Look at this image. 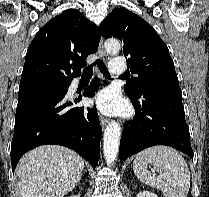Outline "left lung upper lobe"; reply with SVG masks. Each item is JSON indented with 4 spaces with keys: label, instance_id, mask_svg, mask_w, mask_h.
<instances>
[{
    "label": "left lung upper lobe",
    "instance_id": "obj_1",
    "mask_svg": "<svg viewBox=\"0 0 209 197\" xmlns=\"http://www.w3.org/2000/svg\"><path fill=\"white\" fill-rule=\"evenodd\" d=\"M101 33L123 42L127 67L138 75L124 85L127 94L137 96L148 89L180 90L169 50L145 20L125 8L114 9L102 21Z\"/></svg>",
    "mask_w": 209,
    "mask_h": 197
}]
</instances>
